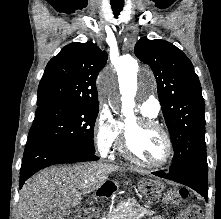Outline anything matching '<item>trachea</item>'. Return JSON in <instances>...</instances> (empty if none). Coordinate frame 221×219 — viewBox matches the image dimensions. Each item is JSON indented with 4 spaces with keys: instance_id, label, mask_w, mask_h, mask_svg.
<instances>
[{
    "instance_id": "3493384b",
    "label": "trachea",
    "mask_w": 221,
    "mask_h": 219,
    "mask_svg": "<svg viewBox=\"0 0 221 219\" xmlns=\"http://www.w3.org/2000/svg\"><path fill=\"white\" fill-rule=\"evenodd\" d=\"M124 7V2L111 3L114 16L117 18Z\"/></svg>"
}]
</instances>
